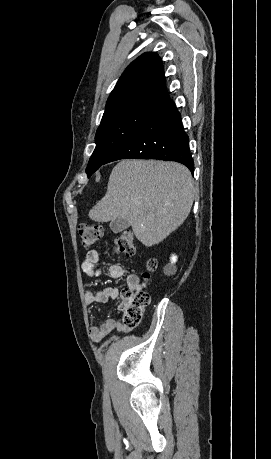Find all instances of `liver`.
<instances>
[{
    "mask_svg": "<svg viewBox=\"0 0 271 459\" xmlns=\"http://www.w3.org/2000/svg\"><path fill=\"white\" fill-rule=\"evenodd\" d=\"M191 172L177 162L121 160L113 168L107 192L90 210L94 222L127 220L144 245L160 243L179 228L192 208Z\"/></svg>",
    "mask_w": 271,
    "mask_h": 459,
    "instance_id": "obj_1",
    "label": "liver"
}]
</instances>
